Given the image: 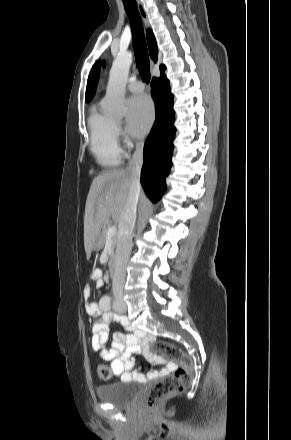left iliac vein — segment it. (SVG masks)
Wrapping results in <instances>:
<instances>
[{
  "mask_svg": "<svg viewBox=\"0 0 291 440\" xmlns=\"http://www.w3.org/2000/svg\"><path fill=\"white\" fill-rule=\"evenodd\" d=\"M115 310H116V312L118 313V314H125L126 312H127V308H126V306L125 305H121V306H117L116 308H115Z\"/></svg>",
  "mask_w": 291,
  "mask_h": 440,
  "instance_id": "4c4485c4",
  "label": "left iliac vein"
}]
</instances>
